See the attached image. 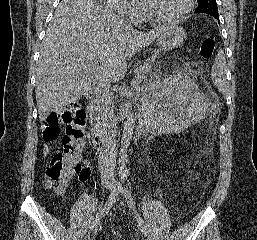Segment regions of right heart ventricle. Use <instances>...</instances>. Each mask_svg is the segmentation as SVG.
Wrapping results in <instances>:
<instances>
[{
	"label": "right heart ventricle",
	"instance_id": "right-heart-ventricle-1",
	"mask_svg": "<svg viewBox=\"0 0 257 240\" xmlns=\"http://www.w3.org/2000/svg\"><path fill=\"white\" fill-rule=\"evenodd\" d=\"M146 20V15L143 16L142 21Z\"/></svg>",
	"mask_w": 257,
	"mask_h": 240
}]
</instances>
